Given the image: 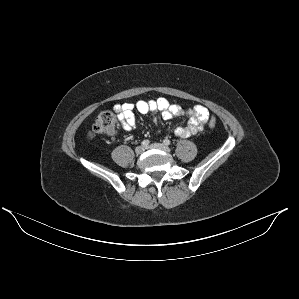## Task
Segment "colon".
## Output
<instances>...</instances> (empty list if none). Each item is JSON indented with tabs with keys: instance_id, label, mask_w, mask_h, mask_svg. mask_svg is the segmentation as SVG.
<instances>
[{
	"instance_id": "5ec220e1",
	"label": "colon",
	"mask_w": 299,
	"mask_h": 299,
	"mask_svg": "<svg viewBox=\"0 0 299 299\" xmlns=\"http://www.w3.org/2000/svg\"><path fill=\"white\" fill-rule=\"evenodd\" d=\"M115 125H116L115 114L111 111H104L96 117L89 131V136L93 137L97 135L112 133L114 131ZM208 125L210 128H214L216 126V119L211 117L208 120Z\"/></svg>"
}]
</instances>
